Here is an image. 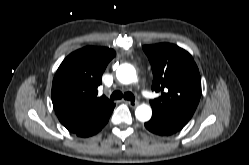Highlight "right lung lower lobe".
Here are the masks:
<instances>
[{
    "instance_id": "right-lung-lower-lobe-1",
    "label": "right lung lower lobe",
    "mask_w": 249,
    "mask_h": 165,
    "mask_svg": "<svg viewBox=\"0 0 249 165\" xmlns=\"http://www.w3.org/2000/svg\"><path fill=\"white\" fill-rule=\"evenodd\" d=\"M112 111L108 115H106L102 120H100L98 123H96L95 125L87 128V129L81 130L79 132H76L75 134L77 136H80V137H89V136H92V135L98 133L108 122Z\"/></svg>"
}]
</instances>
